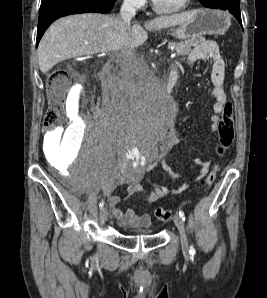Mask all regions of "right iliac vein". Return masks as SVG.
I'll return each mask as SVG.
<instances>
[{"mask_svg":"<svg viewBox=\"0 0 267 298\" xmlns=\"http://www.w3.org/2000/svg\"><path fill=\"white\" fill-rule=\"evenodd\" d=\"M99 219L101 224H105V222L108 220V210L107 208H102L99 214Z\"/></svg>","mask_w":267,"mask_h":298,"instance_id":"obj_1","label":"right iliac vein"}]
</instances>
